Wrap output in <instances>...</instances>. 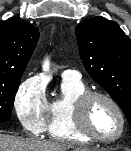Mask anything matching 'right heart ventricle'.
<instances>
[{"instance_id": "obj_1", "label": "right heart ventricle", "mask_w": 131, "mask_h": 151, "mask_svg": "<svg viewBox=\"0 0 131 151\" xmlns=\"http://www.w3.org/2000/svg\"><path fill=\"white\" fill-rule=\"evenodd\" d=\"M62 96L48 105L45 132L48 137L71 143H87L91 140L80 134L74 124L73 105L76 99L87 91L79 79H62Z\"/></svg>"}]
</instances>
